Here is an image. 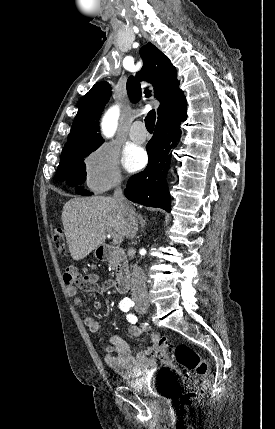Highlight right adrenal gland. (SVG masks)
Segmentation results:
<instances>
[{
  "mask_svg": "<svg viewBox=\"0 0 275 429\" xmlns=\"http://www.w3.org/2000/svg\"><path fill=\"white\" fill-rule=\"evenodd\" d=\"M138 217H139L140 227H141L140 232H142V231H143V229H144V227H145L146 220H144V219H143V217H142V215H141V214H139V215H138Z\"/></svg>",
  "mask_w": 275,
  "mask_h": 429,
  "instance_id": "1",
  "label": "right adrenal gland"
}]
</instances>
